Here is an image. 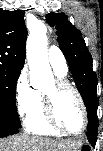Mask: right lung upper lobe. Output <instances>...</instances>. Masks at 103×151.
Segmentation results:
<instances>
[{"label":"right lung upper lobe","instance_id":"cb5924a9","mask_svg":"<svg viewBox=\"0 0 103 151\" xmlns=\"http://www.w3.org/2000/svg\"><path fill=\"white\" fill-rule=\"evenodd\" d=\"M26 37L24 10L0 9V66L21 71L25 62Z\"/></svg>","mask_w":103,"mask_h":151}]
</instances>
